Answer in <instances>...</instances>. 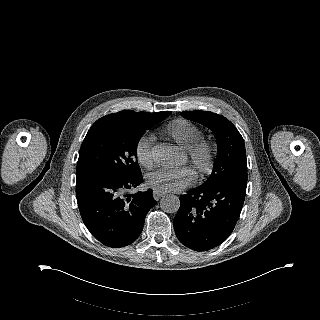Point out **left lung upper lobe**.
<instances>
[{
  "mask_svg": "<svg viewBox=\"0 0 320 320\" xmlns=\"http://www.w3.org/2000/svg\"><path fill=\"white\" fill-rule=\"evenodd\" d=\"M208 127L217 142V154L209 178L201 185L214 186L229 178L247 180V160L242 136L225 117L212 112L189 111L181 114Z\"/></svg>",
  "mask_w": 320,
  "mask_h": 320,
  "instance_id": "1",
  "label": "left lung upper lobe"
}]
</instances>
